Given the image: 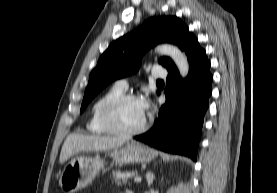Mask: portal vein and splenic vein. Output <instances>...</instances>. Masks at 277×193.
<instances>
[{"label":"portal vein and splenic vein","instance_id":"portal-vein-and-splenic-vein-1","mask_svg":"<svg viewBox=\"0 0 277 193\" xmlns=\"http://www.w3.org/2000/svg\"><path fill=\"white\" fill-rule=\"evenodd\" d=\"M142 178L140 176H136L134 178V182H141Z\"/></svg>","mask_w":277,"mask_h":193}]
</instances>
